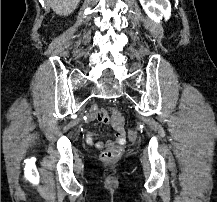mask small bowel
I'll use <instances>...</instances> for the list:
<instances>
[{"label":"small bowel","mask_w":217,"mask_h":202,"mask_svg":"<svg viewBox=\"0 0 217 202\" xmlns=\"http://www.w3.org/2000/svg\"><path fill=\"white\" fill-rule=\"evenodd\" d=\"M99 116V112L97 113V107L96 106H93L90 110V114H89V117L90 118H95L97 117L98 118ZM109 118H114L113 119V127L115 129V132H116V142L119 143V144H123L125 142V131H124V128H123V125H122V120L121 118L119 117H116L115 118V113H109ZM101 122H104V121H101ZM86 142L87 144L97 148V149H100L102 147H104L105 145L106 146H110L113 144L112 141H107L106 143H103V142H100V141H94V133L93 132H87L86 135Z\"/></svg>","instance_id":"1"}]
</instances>
